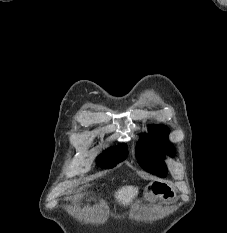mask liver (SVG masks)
<instances>
[{
  "mask_svg": "<svg viewBox=\"0 0 227 233\" xmlns=\"http://www.w3.org/2000/svg\"><path fill=\"white\" fill-rule=\"evenodd\" d=\"M137 195L138 188L134 186H124L115 192L116 200L123 205H128Z\"/></svg>",
  "mask_w": 227,
  "mask_h": 233,
  "instance_id": "liver-1",
  "label": "liver"
}]
</instances>
